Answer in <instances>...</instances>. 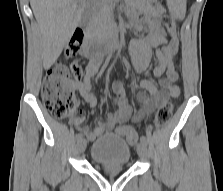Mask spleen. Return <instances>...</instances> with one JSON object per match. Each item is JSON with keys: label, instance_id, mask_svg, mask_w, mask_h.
I'll use <instances>...</instances> for the list:
<instances>
[{"label": "spleen", "instance_id": "3e777b00", "mask_svg": "<svg viewBox=\"0 0 223 191\" xmlns=\"http://www.w3.org/2000/svg\"><path fill=\"white\" fill-rule=\"evenodd\" d=\"M170 12L176 19L182 20L186 13V0H167Z\"/></svg>", "mask_w": 223, "mask_h": 191}]
</instances>
